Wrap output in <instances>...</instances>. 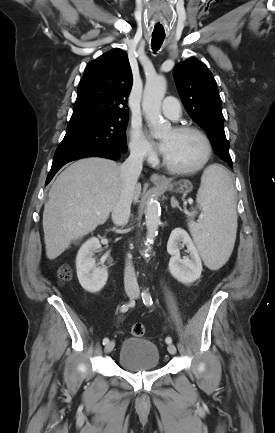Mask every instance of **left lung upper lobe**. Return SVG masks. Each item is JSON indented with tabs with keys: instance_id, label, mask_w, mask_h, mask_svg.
<instances>
[{
	"instance_id": "left-lung-upper-lobe-1",
	"label": "left lung upper lobe",
	"mask_w": 275,
	"mask_h": 433,
	"mask_svg": "<svg viewBox=\"0 0 275 433\" xmlns=\"http://www.w3.org/2000/svg\"><path fill=\"white\" fill-rule=\"evenodd\" d=\"M173 75L187 113L208 133L216 154L231 166L221 98L212 73L204 63L189 58L175 66Z\"/></svg>"
}]
</instances>
